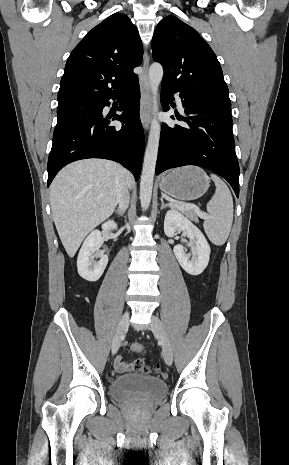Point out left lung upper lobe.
Listing matches in <instances>:
<instances>
[{
    "label": "left lung upper lobe",
    "instance_id": "5c2ea615",
    "mask_svg": "<svg viewBox=\"0 0 289 465\" xmlns=\"http://www.w3.org/2000/svg\"><path fill=\"white\" fill-rule=\"evenodd\" d=\"M152 55L164 66V85L231 106L215 53L195 29L177 17L167 16L157 25Z\"/></svg>",
    "mask_w": 289,
    "mask_h": 465
}]
</instances>
